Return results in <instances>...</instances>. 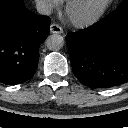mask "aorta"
Wrapping results in <instances>:
<instances>
[{
  "mask_svg": "<svg viewBox=\"0 0 128 128\" xmlns=\"http://www.w3.org/2000/svg\"><path fill=\"white\" fill-rule=\"evenodd\" d=\"M46 45L49 50L58 51L64 45V38L59 34H52L46 39Z\"/></svg>",
  "mask_w": 128,
  "mask_h": 128,
  "instance_id": "762f6f07",
  "label": "aorta"
}]
</instances>
